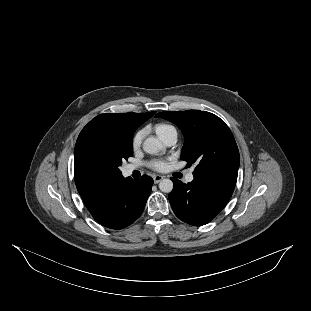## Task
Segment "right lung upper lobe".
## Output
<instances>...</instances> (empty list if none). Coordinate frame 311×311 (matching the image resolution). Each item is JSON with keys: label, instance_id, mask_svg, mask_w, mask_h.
I'll list each match as a JSON object with an SVG mask.
<instances>
[{"label": "right lung upper lobe", "instance_id": "obj_1", "mask_svg": "<svg viewBox=\"0 0 311 311\" xmlns=\"http://www.w3.org/2000/svg\"><path fill=\"white\" fill-rule=\"evenodd\" d=\"M155 112L149 113H105L96 116L87 125L100 124L118 130L122 134L132 137L135 130ZM118 178V177H117ZM117 178H106L96 175H91L83 172L77 165L74 164V179L79 194L84 193L91 186Z\"/></svg>", "mask_w": 311, "mask_h": 311}]
</instances>
